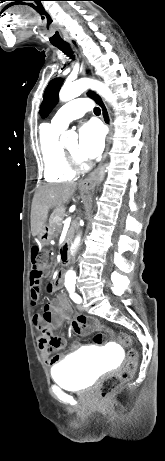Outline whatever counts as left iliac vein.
I'll use <instances>...</instances> for the list:
<instances>
[{"label":"left iliac vein","instance_id":"4c4485c4","mask_svg":"<svg viewBox=\"0 0 165 461\" xmlns=\"http://www.w3.org/2000/svg\"><path fill=\"white\" fill-rule=\"evenodd\" d=\"M77 308L80 310V311H84V305L83 304H79L77 306Z\"/></svg>","mask_w":165,"mask_h":461}]
</instances>
